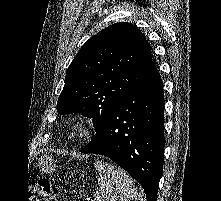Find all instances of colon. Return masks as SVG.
I'll list each match as a JSON object with an SVG mask.
<instances>
[{"instance_id":"obj_1","label":"colon","mask_w":221,"mask_h":201,"mask_svg":"<svg viewBox=\"0 0 221 201\" xmlns=\"http://www.w3.org/2000/svg\"><path fill=\"white\" fill-rule=\"evenodd\" d=\"M58 188L47 178H41L27 193V201H58Z\"/></svg>"}]
</instances>
